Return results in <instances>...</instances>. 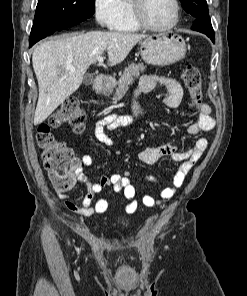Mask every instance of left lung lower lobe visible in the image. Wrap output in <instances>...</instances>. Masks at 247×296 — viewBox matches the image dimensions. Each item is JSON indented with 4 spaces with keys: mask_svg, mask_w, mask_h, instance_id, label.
I'll return each mask as SVG.
<instances>
[{
    "mask_svg": "<svg viewBox=\"0 0 247 296\" xmlns=\"http://www.w3.org/2000/svg\"><path fill=\"white\" fill-rule=\"evenodd\" d=\"M192 29L206 34L213 43L215 42L214 31L208 14L199 16Z\"/></svg>",
    "mask_w": 247,
    "mask_h": 296,
    "instance_id": "1",
    "label": "left lung lower lobe"
}]
</instances>
